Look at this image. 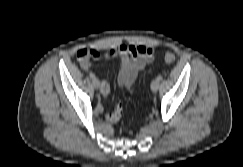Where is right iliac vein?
Listing matches in <instances>:
<instances>
[{"mask_svg": "<svg viewBox=\"0 0 243 167\" xmlns=\"http://www.w3.org/2000/svg\"><path fill=\"white\" fill-rule=\"evenodd\" d=\"M93 86L98 89L100 87V81L98 79H93Z\"/></svg>", "mask_w": 243, "mask_h": 167, "instance_id": "63e3f726", "label": "right iliac vein"}]
</instances>
